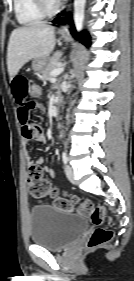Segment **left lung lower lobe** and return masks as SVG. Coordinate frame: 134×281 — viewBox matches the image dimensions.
I'll return each instance as SVG.
<instances>
[{
  "mask_svg": "<svg viewBox=\"0 0 134 281\" xmlns=\"http://www.w3.org/2000/svg\"><path fill=\"white\" fill-rule=\"evenodd\" d=\"M66 22L68 23H72V19L70 14H67L66 18H56L53 23H58V24H65ZM71 33L76 36L82 43H84L85 45L89 46L90 45V38L88 36V34H86L85 32H82L80 34H77L74 25L72 24L71 26Z\"/></svg>",
  "mask_w": 134,
  "mask_h": 281,
  "instance_id": "0a47b994",
  "label": "left lung lower lobe"
}]
</instances>
